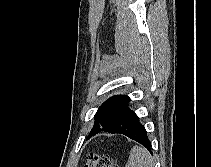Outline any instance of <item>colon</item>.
<instances>
[{
    "label": "colon",
    "mask_w": 211,
    "mask_h": 167,
    "mask_svg": "<svg viewBox=\"0 0 211 167\" xmlns=\"http://www.w3.org/2000/svg\"><path fill=\"white\" fill-rule=\"evenodd\" d=\"M83 167H117L113 160L108 156H101L97 154H90L84 164Z\"/></svg>",
    "instance_id": "obj_1"
}]
</instances>
